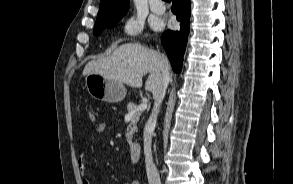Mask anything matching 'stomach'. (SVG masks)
Masks as SVG:
<instances>
[{"label": "stomach", "mask_w": 293, "mask_h": 184, "mask_svg": "<svg viewBox=\"0 0 293 184\" xmlns=\"http://www.w3.org/2000/svg\"><path fill=\"white\" fill-rule=\"evenodd\" d=\"M85 86L91 97L108 103L121 102L127 93L122 82L100 74L86 75Z\"/></svg>", "instance_id": "0dacf381"}]
</instances>
